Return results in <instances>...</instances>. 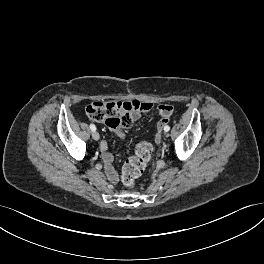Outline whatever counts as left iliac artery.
I'll use <instances>...</instances> for the list:
<instances>
[{
  "mask_svg": "<svg viewBox=\"0 0 264 264\" xmlns=\"http://www.w3.org/2000/svg\"><path fill=\"white\" fill-rule=\"evenodd\" d=\"M169 130H170V127L168 125L164 127L165 132H168Z\"/></svg>",
  "mask_w": 264,
  "mask_h": 264,
  "instance_id": "left-iliac-artery-1",
  "label": "left iliac artery"
}]
</instances>
